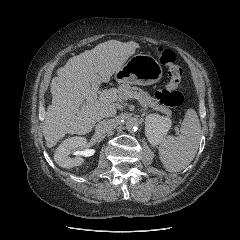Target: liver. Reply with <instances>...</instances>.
<instances>
[{"mask_svg":"<svg viewBox=\"0 0 240 240\" xmlns=\"http://www.w3.org/2000/svg\"><path fill=\"white\" fill-rule=\"evenodd\" d=\"M138 47L132 41L109 40L73 56L58 69V76L51 82L52 104L47 108L43 124L48 148L66 134H87L96 122L116 115L117 95L87 99L92 86L108 83Z\"/></svg>","mask_w":240,"mask_h":240,"instance_id":"liver-1","label":"liver"}]
</instances>
